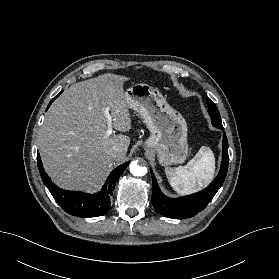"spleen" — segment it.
<instances>
[{"mask_svg":"<svg viewBox=\"0 0 279 279\" xmlns=\"http://www.w3.org/2000/svg\"><path fill=\"white\" fill-rule=\"evenodd\" d=\"M214 171V154L206 146H202L186 166L165 168L170 185L179 194L196 191L199 186L208 183L213 178Z\"/></svg>","mask_w":279,"mask_h":279,"instance_id":"spleen-1","label":"spleen"}]
</instances>
